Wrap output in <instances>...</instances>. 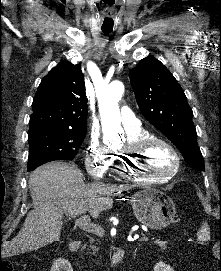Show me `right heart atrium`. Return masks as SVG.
I'll list each match as a JSON object with an SVG mask.
<instances>
[{"mask_svg":"<svg viewBox=\"0 0 221 271\" xmlns=\"http://www.w3.org/2000/svg\"><path fill=\"white\" fill-rule=\"evenodd\" d=\"M88 150L90 157H87L86 166L94 170L97 177H104V173H109V168L112 167L116 154H110V151H98V146H89Z\"/></svg>","mask_w":221,"mask_h":271,"instance_id":"1","label":"right heart atrium"}]
</instances>
